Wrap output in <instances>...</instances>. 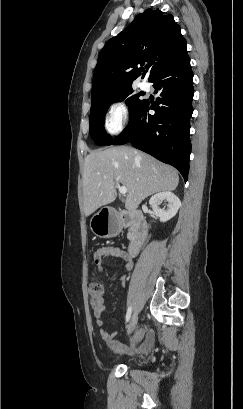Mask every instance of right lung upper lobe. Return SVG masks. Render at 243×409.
Listing matches in <instances>:
<instances>
[{"label":"right lung upper lobe","instance_id":"cb5924a9","mask_svg":"<svg viewBox=\"0 0 243 409\" xmlns=\"http://www.w3.org/2000/svg\"><path fill=\"white\" fill-rule=\"evenodd\" d=\"M186 46L172 15L147 9L101 50L94 71L91 102L132 87L144 64L148 81ZM146 72L143 73L142 78Z\"/></svg>","mask_w":243,"mask_h":409}]
</instances>
